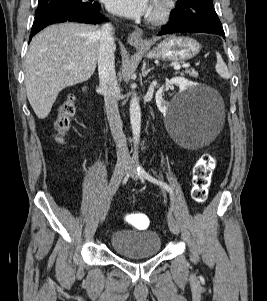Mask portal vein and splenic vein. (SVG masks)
<instances>
[{
    "mask_svg": "<svg viewBox=\"0 0 267 301\" xmlns=\"http://www.w3.org/2000/svg\"><path fill=\"white\" fill-rule=\"evenodd\" d=\"M73 65H71L70 67H72ZM190 66V64H184V65H176V66H174V70L175 71H178V70H180L182 67H189Z\"/></svg>",
    "mask_w": 267,
    "mask_h": 301,
    "instance_id": "obj_1",
    "label": "portal vein and splenic vein"
}]
</instances>
